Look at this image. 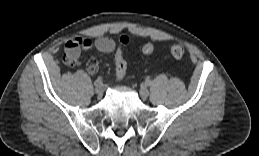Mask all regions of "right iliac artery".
<instances>
[{
	"label": "right iliac artery",
	"mask_w": 259,
	"mask_h": 156,
	"mask_svg": "<svg viewBox=\"0 0 259 156\" xmlns=\"http://www.w3.org/2000/svg\"><path fill=\"white\" fill-rule=\"evenodd\" d=\"M103 83V79L102 78H98L95 82H94V86L98 87L100 85H102Z\"/></svg>",
	"instance_id": "1"
}]
</instances>
